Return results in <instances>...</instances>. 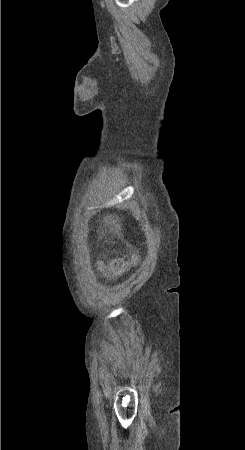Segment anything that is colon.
Wrapping results in <instances>:
<instances>
[{"label":"colon","instance_id":"1","mask_svg":"<svg viewBox=\"0 0 245 450\" xmlns=\"http://www.w3.org/2000/svg\"><path fill=\"white\" fill-rule=\"evenodd\" d=\"M135 260V257H132L131 259L117 258L112 261L111 267L115 272H121L125 270L129 265L133 264Z\"/></svg>","mask_w":245,"mask_h":450}]
</instances>
